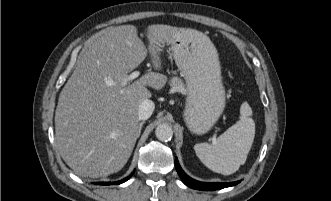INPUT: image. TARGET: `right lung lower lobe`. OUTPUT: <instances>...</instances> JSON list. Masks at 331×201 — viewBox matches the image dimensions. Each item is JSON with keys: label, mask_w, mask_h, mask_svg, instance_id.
Returning a JSON list of instances; mask_svg holds the SVG:
<instances>
[{"label": "right lung lower lobe", "mask_w": 331, "mask_h": 201, "mask_svg": "<svg viewBox=\"0 0 331 201\" xmlns=\"http://www.w3.org/2000/svg\"><path fill=\"white\" fill-rule=\"evenodd\" d=\"M128 179H129V177H126L123 180H120V181H117V182H112V183L111 182H100L98 184H100V185H110V184H116V185H118V184H121V183L127 181Z\"/></svg>", "instance_id": "obj_1"}]
</instances>
